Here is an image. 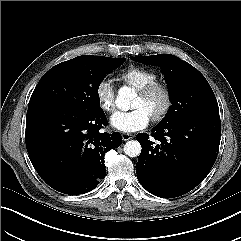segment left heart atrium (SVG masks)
<instances>
[{
    "label": "left heart atrium",
    "mask_w": 241,
    "mask_h": 241,
    "mask_svg": "<svg viewBox=\"0 0 241 241\" xmlns=\"http://www.w3.org/2000/svg\"><path fill=\"white\" fill-rule=\"evenodd\" d=\"M150 115L143 108H135L127 112H116L111 117L114 128L123 132H135L147 127Z\"/></svg>",
    "instance_id": "39dd6f15"
}]
</instances>
